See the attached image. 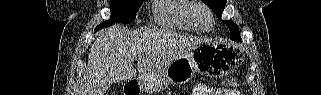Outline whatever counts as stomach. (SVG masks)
I'll list each match as a JSON object with an SVG mask.
<instances>
[{
    "mask_svg": "<svg viewBox=\"0 0 321 95\" xmlns=\"http://www.w3.org/2000/svg\"><path fill=\"white\" fill-rule=\"evenodd\" d=\"M240 58L230 44L205 41L160 70L142 74L137 85L144 92L160 91L170 84H185L195 73L210 77H224L235 70Z\"/></svg>",
    "mask_w": 321,
    "mask_h": 95,
    "instance_id": "0dacf381",
    "label": "stomach"
}]
</instances>
